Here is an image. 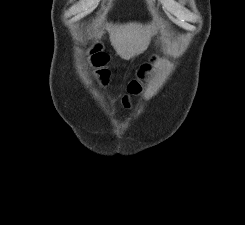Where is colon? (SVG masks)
I'll use <instances>...</instances> for the list:
<instances>
[{
    "label": "colon",
    "instance_id": "colon-1",
    "mask_svg": "<svg viewBox=\"0 0 245 225\" xmlns=\"http://www.w3.org/2000/svg\"><path fill=\"white\" fill-rule=\"evenodd\" d=\"M102 51V47L101 46H96L94 49H93V53H95V55H100V57L101 56H103V55H101L103 52H101ZM98 64H102V61L100 60L99 62H98ZM146 70V66H142L141 68H140V70H139V74L140 75H142L143 73H144V71ZM107 75H108V73L107 72H104L103 73V77L105 78V77H107ZM137 86H138V83L136 82V81H132L131 83H130V85H129V91L130 92H135L136 90H137Z\"/></svg>",
    "mask_w": 245,
    "mask_h": 225
}]
</instances>
